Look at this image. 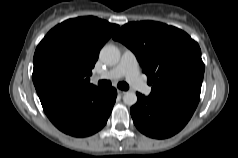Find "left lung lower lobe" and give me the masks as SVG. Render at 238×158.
<instances>
[{"instance_id":"0a47b994","label":"left lung lower lobe","mask_w":238,"mask_h":158,"mask_svg":"<svg viewBox=\"0 0 238 158\" xmlns=\"http://www.w3.org/2000/svg\"><path fill=\"white\" fill-rule=\"evenodd\" d=\"M201 89L189 88L166 94L144 96L137 93L138 101L131 107V116L143 134L163 139L178 133L192 117Z\"/></svg>"}]
</instances>
